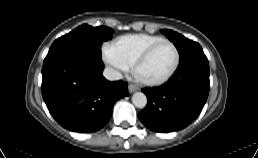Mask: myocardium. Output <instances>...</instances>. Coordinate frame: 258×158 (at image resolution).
I'll use <instances>...</instances> for the list:
<instances>
[{"label":"myocardium","mask_w":258,"mask_h":158,"mask_svg":"<svg viewBox=\"0 0 258 158\" xmlns=\"http://www.w3.org/2000/svg\"><path fill=\"white\" fill-rule=\"evenodd\" d=\"M162 44H170L175 49L176 60H175L174 65L165 75H163L162 77H160L158 79H145V78L140 77L139 76L140 68L144 65V63L147 61V59L150 57V55ZM180 61H181V56H180L178 47L172 41L163 39V40L159 41L158 43H156L155 45L148 48L141 55V57L137 60V62L134 65V72L142 79V81L144 83L149 84V85H160V84L167 82L174 75V73L176 72V70L178 69V67L180 65Z\"/></svg>","instance_id":"obj_1"}]
</instances>
